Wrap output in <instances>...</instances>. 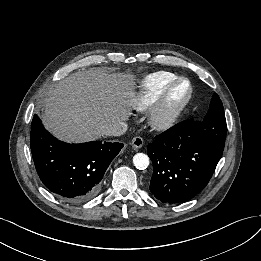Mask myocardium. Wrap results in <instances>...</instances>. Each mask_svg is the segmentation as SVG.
<instances>
[{
	"label": "myocardium",
	"mask_w": 261,
	"mask_h": 261,
	"mask_svg": "<svg viewBox=\"0 0 261 261\" xmlns=\"http://www.w3.org/2000/svg\"><path fill=\"white\" fill-rule=\"evenodd\" d=\"M181 82L187 83V93L179 103L173 105L171 103L172 94ZM192 93V84L187 77H177L173 80L164 90L159 100L151 110L149 117L151 127L156 131H167L173 128L189 104L192 98Z\"/></svg>",
	"instance_id": "myocardium-1"
}]
</instances>
